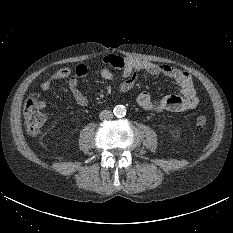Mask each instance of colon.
Returning a JSON list of instances; mask_svg holds the SVG:
<instances>
[{
    "mask_svg": "<svg viewBox=\"0 0 233 233\" xmlns=\"http://www.w3.org/2000/svg\"><path fill=\"white\" fill-rule=\"evenodd\" d=\"M43 109L44 103L35 97H30L25 101L23 113L28 133L32 135L39 133L46 119ZM196 124L200 128L204 127L207 124V118L203 115L197 116Z\"/></svg>",
    "mask_w": 233,
    "mask_h": 233,
    "instance_id": "colon-1",
    "label": "colon"
}]
</instances>
